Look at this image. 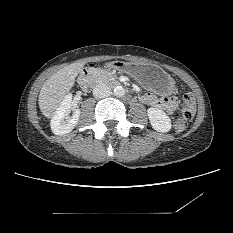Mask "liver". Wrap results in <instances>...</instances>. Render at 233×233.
Instances as JSON below:
<instances>
[{"mask_svg": "<svg viewBox=\"0 0 233 233\" xmlns=\"http://www.w3.org/2000/svg\"><path fill=\"white\" fill-rule=\"evenodd\" d=\"M84 67L83 62L72 63L54 73L42 86L39 93V108L46 118H52L65 96L75 84V79Z\"/></svg>", "mask_w": 233, "mask_h": 233, "instance_id": "liver-1", "label": "liver"}]
</instances>
